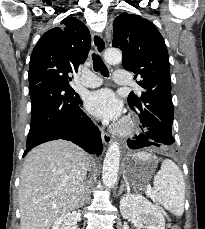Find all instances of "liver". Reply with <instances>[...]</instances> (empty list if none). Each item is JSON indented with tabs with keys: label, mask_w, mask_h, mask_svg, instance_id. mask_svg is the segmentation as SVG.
<instances>
[{
	"label": "liver",
	"mask_w": 205,
	"mask_h": 229,
	"mask_svg": "<svg viewBox=\"0 0 205 229\" xmlns=\"http://www.w3.org/2000/svg\"><path fill=\"white\" fill-rule=\"evenodd\" d=\"M90 163L88 154L68 141L33 148L21 172V229H49L56 219L73 211L79 205Z\"/></svg>",
	"instance_id": "1"
}]
</instances>
